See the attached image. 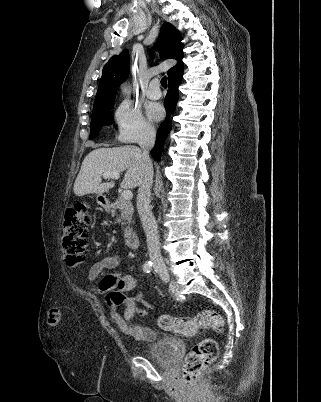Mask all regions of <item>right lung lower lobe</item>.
I'll return each mask as SVG.
<instances>
[{
  "mask_svg": "<svg viewBox=\"0 0 321 402\" xmlns=\"http://www.w3.org/2000/svg\"><path fill=\"white\" fill-rule=\"evenodd\" d=\"M182 75H183V71L176 73L175 75H173L172 77H170L168 79L169 90L167 92V95H166L165 101H164L167 118L163 122V124L160 126V128L157 132V140H156L155 147L150 152L151 156L156 161H160L164 141L166 139L167 134L171 130V123H170L169 117L174 112L177 101H178V96H179L178 86L181 82Z\"/></svg>",
  "mask_w": 321,
  "mask_h": 402,
  "instance_id": "obj_1",
  "label": "right lung lower lobe"
}]
</instances>
